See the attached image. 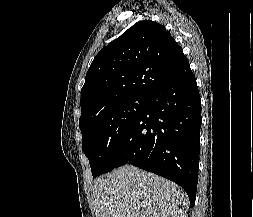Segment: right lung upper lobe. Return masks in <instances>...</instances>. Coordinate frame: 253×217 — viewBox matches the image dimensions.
<instances>
[{"instance_id": "right-lung-upper-lobe-1", "label": "right lung upper lobe", "mask_w": 253, "mask_h": 217, "mask_svg": "<svg viewBox=\"0 0 253 217\" xmlns=\"http://www.w3.org/2000/svg\"><path fill=\"white\" fill-rule=\"evenodd\" d=\"M187 61L182 48L160 25L137 22L94 58L81 90L79 125L120 101L147 97Z\"/></svg>"}]
</instances>
